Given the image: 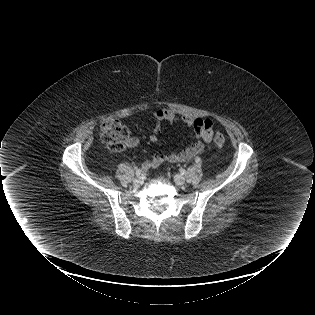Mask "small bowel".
<instances>
[{
    "instance_id": "obj_1",
    "label": "small bowel",
    "mask_w": 315,
    "mask_h": 315,
    "mask_svg": "<svg viewBox=\"0 0 315 315\" xmlns=\"http://www.w3.org/2000/svg\"><path fill=\"white\" fill-rule=\"evenodd\" d=\"M150 117L153 127L152 134L149 136V141L155 144L159 149L154 153L152 159L142 163L141 167L144 171L150 168H155L163 162L175 163L191 160L203 151L206 143H209L212 140L213 123L209 119H200L189 115L179 116L174 111L167 108L152 112ZM164 122L171 124L181 122L185 126L192 128L197 141L178 153L165 152L162 149L163 143L159 138V133L161 132L162 124ZM138 143L139 139L137 137H130L127 145L129 147H135Z\"/></svg>"
}]
</instances>
